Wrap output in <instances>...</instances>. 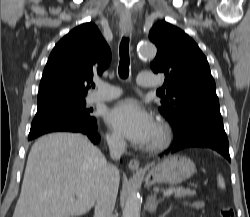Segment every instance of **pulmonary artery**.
<instances>
[{"mask_svg":"<svg viewBox=\"0 0 250 217\" xmlns=\"http://www.w3.org/2000/svg\"><path fill=\"white\" fill-rule=\"evenodd\" d=\"M137 84L140 87L152 88L158 86L159 82L151 73L138 75ZM121 95V90L106 82H98L97 90L88 96L89 102H103L113 100Z\"/></svg>","mask_w":250,"mask_h":217,"instance_id":"1","label":"pulmonary artery"}]
</instances>
